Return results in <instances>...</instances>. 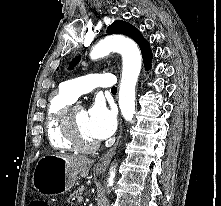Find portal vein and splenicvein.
I'll return each instance as SVG.
<instances>
[{"label": "portal vein and splenic vein", "mask_w": 221, "mask_h": 206, "mask_svg": "<svg viewBox=\"0 0 221 206\" xmlns=\"http://www.w3.org/2000/svg\"><path fill=\"white\" fill-rule=\"evenodd\" d=\"M78 201L81 203V202L83 201V198L80 197V198L78 199Z\"/></svg>", "instance_id": "obj_1"}]
</instances>
